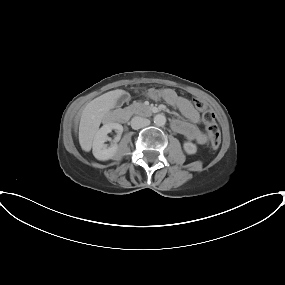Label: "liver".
<instances>
[{"label": "liver", "instance_id": "liver-1", "mask_svg": "<svg viewBox=\"0 0 285 285\" xmlns=\"http://www.w3.org/2000/svg\"><path fill=\"white\" fill-rule=\"evenodd\" d=\"M118 96V90L107 92L88 103L82 111L79 124V143L84 151L91 150L99 126L109 110L114 107Z\"/></svg>", "mask_w": 285, "mask_h": 285}]
</instances>
